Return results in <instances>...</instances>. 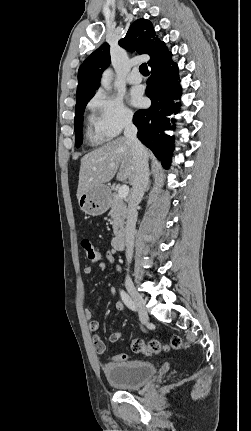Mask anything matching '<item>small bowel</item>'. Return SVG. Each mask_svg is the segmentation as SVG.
Wrapping results in <instances>:
<instances>
[{
	"label": "small bowel",
	"instance_id": "c3829d8e",
	"mask_svg": "<svg viewBox=\"0 0 251 431\" xmlns=\"http://www.w3.org/2000/svg\"><path fill=\"white\" fill-rule=\"evenodd\" d=\"M105 257L109 263L111 264L115 263V257L111 252H107L105 254ZM97 267L102 271H105L107 269V265L102 261L97 263ZM116 269L118 272L121 271V267L119 265H116ZM92 271H93L92 266H85L83 269V272L86 275H90ZM115 308L117 311L122 312L124 310V305L122 302H117L115 304ZM85 318L88 321L89 330L93 333L92 341H93V346L95 351L98 354H105L107 352V345L103 341V339L97 334L100 328L99 321L95 318L93 312L90 309L85 310ZM121 338H122L121 332H114L108 336V342L115 343L119 341Z\"/></svg>",
	"mask_w": 251,
	"mask_h": 431
}]
</instances>
